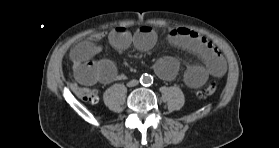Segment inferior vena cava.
Wrapping results in <instances>:
<instances>
[{
  "mask_svg": "<svg viewBox=\"0 0 279 148\" xmlns=\"http://www.w3.org/2000/svg\"><path fill=\"white\" fill-rule=\"evenodd\" d=\"M138 80H131L129 83H128V86L129 87H132V86H136V85H138Z\"/></svg>",
  "mask_w": 279,
  "mask_h": 148,
  "instance_id": "602c4592",
  "label": "inferior vena cava"
}]
</instances>
